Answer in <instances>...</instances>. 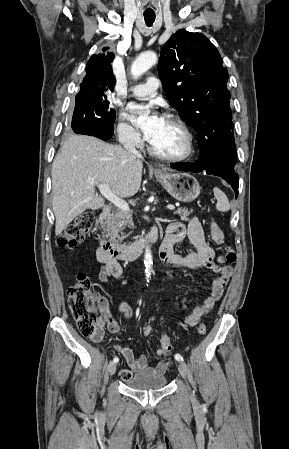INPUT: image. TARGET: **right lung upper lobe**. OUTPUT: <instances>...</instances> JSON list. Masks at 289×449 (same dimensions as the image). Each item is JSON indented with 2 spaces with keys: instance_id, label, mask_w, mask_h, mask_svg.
Returning <instances> with one entry per match:
<instances>
[{
  "instance_id": "cb5924a9",
  "label": "right lung upper lobe",
  "mask_w": 289,
  "mask_h": 449,
  "mask_svg": "<svg viewBox=\"0 0 289 449\" xmlns=\"http://www.w3.org/2000/svg\"><path fill=\"white\" fill-rule=\"evenodd\" d=\"M108 48H104L106 51ZM114 59L113 53L108 55H93L87 63L86 76L80 84V94L95 93L100 90H114L116 83L113 75L111 62Z\"/></svg>"
}]
</instances>
